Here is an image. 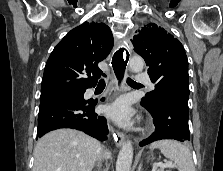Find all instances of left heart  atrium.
Segmentation results:
<instances>
[{"label": "left heart atrium", "mask_w": 223, "mask_h": 171, "mask_svg": "<svg viewBox=\"0 0 223 171\" xmlns=\"http://www.w3.org/2000/svg\"><path fill=\"white\" fill-rule=\"evenodd\" d=\"M105 114L119 125H129L132 122L133 110L124 98L117 99L105 107Z\"/></svg>", "instance_id": "obj_1"}]
</instances>
